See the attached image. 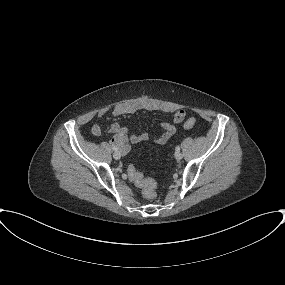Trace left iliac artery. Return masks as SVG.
<instances>
[{"mask_svg": "<svg viewBox=\"0 0 285 285\" xmlns=\"http://www.w3.org/2000/svg\"><path fill=\"white\" fill-rule=\"evenodd\" d=\"M175 150H176V151H180V146H177V147L175 148Z\"/></svg>", "mask_w": 285, "mask_h": 285, "instance_id": "1", "label": "left iliac artery"}]
</instances>
